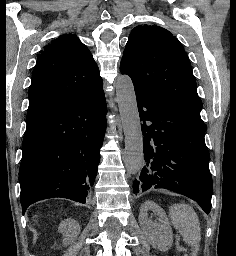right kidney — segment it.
Listing matches in <instances>:
<instances>
[{"instance_id":"1","label":"right kidney","mask_w":236,"mask_h":256,"mask_svg":"<svg viewBox=\"0 0 236 256\" xmlns=\"http://www.w3.org/2000/svg\"><path fill=\"white\" fill-rule=\"evenodd\" d=\"M58 230L60 234H63L64 246H70V244H73L74 240H77L80 234V226L78 222H75V220H71V218H68V220H64V222H61V224H59Z\"/></svg>"}]
</instances>
